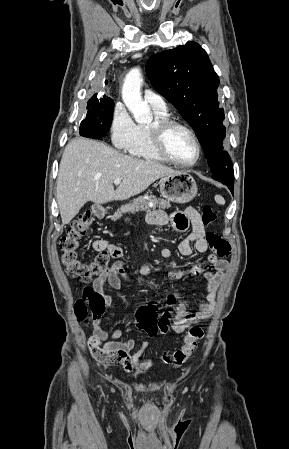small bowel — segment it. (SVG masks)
<instances>
[{"label": "small bowel", "mask_w": 289, "mask_h": 449, "mask_svg": "<svg viewBox=\"0 0 289 449\" xmlns=\"http://www.w3.org/2000/svg\"><path fill=\"white\" fill-rule=\"evenodd\" d=\"M146 220L149 224L156 226H163L170 222L171 226L178 232L185 231L188 225L191 224L192 232L178 246V251L182 256L192 255L194 249L199 253H204L208 250L209 244L205 237V224L200 214L193 207H188L184 211L174 212L170 217L163 211H155L150 213ZM93 248L99 252L107 251L113 259L112 264L93 281L94 291L104 298L107 306H110L112 298L107 293L105 284L108 283L113 289L120 290L122 288L121 278L128 283H131V279L125 271L120 246L110 243L105 238H101L94 241ZM171 254L172 252L169 248L161 250V255L164 258H169ZM209 262L213 267V271H207L201 264H195L188 270L174 269L169 272V277L176 281L197 276H202L206 280V295L197 310L189 311L185 301H181L178 304L173 325V330L176 333H182L192 324L210 318L214 312L219 282L228 263L224 258H217L211 255L209 256ZM151 270V266H145L141 269V273L148 274ZM122 334L123 328L119 327L109 336L102 328L101 320H95L93 334L88 340V347L93 357L103 365H121L128 372L134 369L139 372L150 369L153 366L151 359L141 361V357L148 348L149 342L147 340L143 341L138 350L130 354L136 346V341L134 339L120 341L119 338Z\"/></svg>", "instance_id": "1"}]
</instances>
